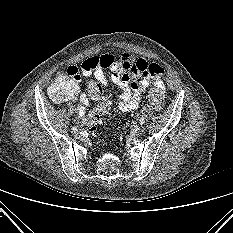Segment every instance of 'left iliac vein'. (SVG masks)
<instances>
[{"mask_svg": "<svg viewBox=\"0 0 233 233\" xmlns=\"http://www.w3.org/2000/svg\"><path fill=\"white\" fill-rule=\"evenodd\" d=\"M144 130H145V128L143 126H140L135 130V133L137 135H141L144 132Z\"/></svg>", "mask_w": 233, "mask_h": 233, "instance_id": "1", "label": "left iliac vein"}]
</instances>
